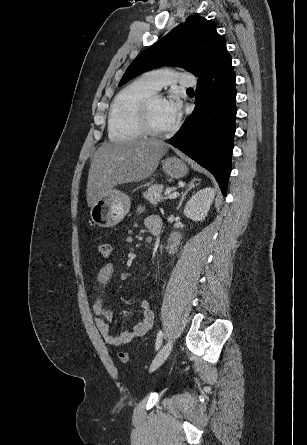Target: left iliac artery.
<instances>
[{
    "mask_svg": "<svg viewBox=\"0 0 307 445\" xmlns=\"http://www.w3.org/2000/svg\"><path fill=\"white\" fill-rule=\"evenodd\" d=\"M163 339V332L160 330L157 334L156 343H155V349L158 350L160 348V345L162 343Z\"/></svg>",
    "mask_w": 307,
    "mask_h": 445,
    "instance_id": "obj_1",
    "label": "left iliac artery"
}]
</instances>
